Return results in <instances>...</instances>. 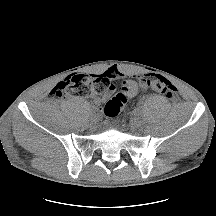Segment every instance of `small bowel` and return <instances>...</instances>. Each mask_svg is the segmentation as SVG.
<instances>
[{
	"label": "small bowel",
	"instance_id": "obj_1",
	"mask_svg": "<svg viewBox=\"0 0 216 216\" xmlns=\"http://www.w3.org/2000/svg\"><path fill=\"white\" fill-rule=\"evenodd\" d=\"M104 75L108 76L110 79L115 80V79H122L125 77V74L120 71L119 69H117L116 67H111L109 69H107L104 73ZM131 82H135L133 80H128L125 81V84L131 83ZM140 90V89H139ZM139 90H135L133 92L130 93V97L135 96ZM116 91V85L111 83L109 88L100 96L96 99L97 103H102L107 101L112 95L113 93Z\"/></svg>",
	"mask_w": 216,
	"mask_h": 216
}]
</instances>
